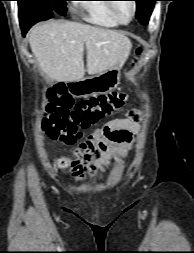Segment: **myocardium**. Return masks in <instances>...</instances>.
<instances>
[{
	"mask_svg": "<svg viewBox=\"0 0 194 253\" xmlns=\"http://www.w3.org/2000/svg\"><path fill=\"white\" fill-rule=\"evenodd\" d=\"M111 2H109V7H110V10L112 12V14L114 15V17L122 24H127L129 22H131L135 15H136V12H137V3L136 1L132 0V3H133V13L130 17L129 20H124L122 19V17L120 16L118 10H117V7H116V2H114V0H110Z\"/></svg>",
	"mask_w": 194,
	"mask_h": 253,
	"instance_id": "myocardium-1",
	"label": "myocardium"
}]
</instances>
